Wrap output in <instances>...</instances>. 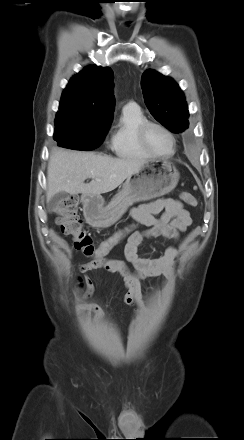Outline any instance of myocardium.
Listing matches in <instances>:
<instances>
[{
	"label": "myocardium",
	"mask_w": 244,
	"mask_h": 440,
	"mask_svg": "<svg viewBox=\"0 0 244 440\" xmlns=\"http://www.w3.org/2000/svg\"><path fill=\"white\" fill-rule=\"evenodd\" d=\"M151 127H157L159 129H161L170 137V139L172 141V145H173V150L170 154H166V155L156 154L149 148L147 141H146V134H147V131L149 130V128H151ZM136 136H137V141H138L139 145L141 146V148L145 152L150 154V156L168 157V156L174 155V153L176 152L177 142H176V138H175L174 134L167 127H165L164 125H162L158 122L147 120V121L141 123L137 128Z\"/></svg>",
	"instance_id": "obj_1"
}]
</instances>
